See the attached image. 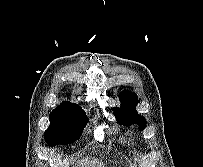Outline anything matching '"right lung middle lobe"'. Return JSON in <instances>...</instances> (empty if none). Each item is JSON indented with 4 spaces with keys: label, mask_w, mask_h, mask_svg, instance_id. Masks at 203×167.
Returning <instances> with one entry per match:
<instances>
[{
    "label": "right lung middle lobe",
    "mask_w": 203,
    "mask_h": 167,
    "mask_svg": "<svg viewBox=\"0 0 203 167\" xmlns=\"http://www.w3.org/2000/svg\"><path fill=\"white\" fill-rule=\"evenodd\" d=\"M87 122L88 118L79 106L53 111L45 131V141L49 145L70 144L80 137Z\"/></svg>",
    "instance_id": "dd1d6c3e"
}]
</instances>
